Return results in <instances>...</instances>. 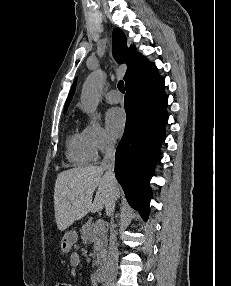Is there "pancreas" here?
<instances>
[{"instance_id": "obj_1", "label": "pancreas", "mask_w": 231, "mask_h": 286, "mask_svg": "<svg viewBox=\"0 0 231 286\" xmlns=\"http://www.w3.org/2000/svg\"><path fill=\"white\" fill-rule=\"evenodd\" d=\"M81 239L84 244L93 243V264L92 267L101 266L106 258L107 229L105 225L101 228L96 227L91 221L83 224Z\"/></svg>"}]
</instances>
